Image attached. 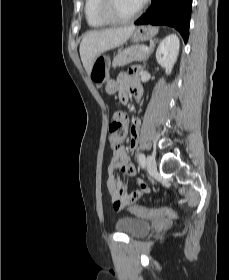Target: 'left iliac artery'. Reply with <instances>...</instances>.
<instances>
[{
  "label": "left iliac artery",
  "mask_w": 229,
  "mask_h": 280,
  "mask_svg": "<svg viewBox=\"0 0 229 280\" xmlns=\"http://www.w3.org/2000/svg\"><path fill=\"white\" fill-rule=\"evenodd\" d=\"M138 160H139V164L141 165V167H144L146 159H145V155L143 153H139Z\"/></svg>",
  "instance_id": "1"
}]
</instances>
